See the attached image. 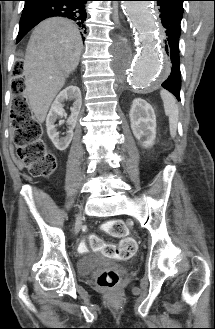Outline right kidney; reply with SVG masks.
Returning a JSON list of instances; mask_svg holds the SVG:
<instances>
[{"label":"right kidney","instance_id":"right-kidney-1","mask_svg":"<svg viewBox=\"0 0 215 329\" xmlns=\"http://www.w3.org/2000/svg\"><path fill=\"white\" fill-rule=\"evenodd\" d=\"M66 100H74L73 107L71 108V115L67 119L68 131L65 137H60L55 122L58 117H63L65 111L63 109V103ZM82 105L81 91L77 86L70 85L63 89L56 97L55 101L51 105V109L46 118L47 134L51 139L54 146L64 151L69 146L73 138V129L75 128L77 117L79 115Z\"/></svg>","mask_w":215,"mask_h":329}]
</instances>
